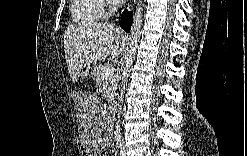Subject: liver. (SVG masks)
Masks as SVG:
<instances>
[{
    "mask_svg": "<svg viewBox=\"0 0 247 156\" xmlns=\"http://www.w3.org/2000/svg\"><path fill=\"white\" fill-rule=\"evenodd\" d=\"M124 32L110 23L86 22L72 24L64 33V52L72 81H78L85 64L116 58L125 47Z\"/></svg>",
    "mask_w": 247,
    "mask_h": 156,
    "instance_id": "6515ba94",
    "label": "liver"
}]
</instances>
